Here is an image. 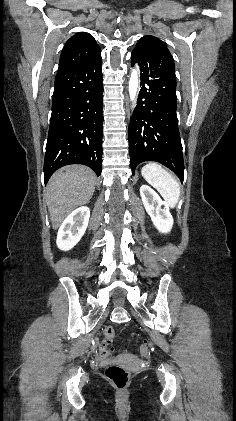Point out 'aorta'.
Here are the masks:
<instances>
[{
  "label": "aorta",
  "instance_id": "762f6f07",
  "mask_svg": "<svg viewBox=\"0 0 236 421\" xmlns=\"http://www.w3.org/2000/svg\"><path fill=\"white\" fill-rule=\"evenodd\" d=\"M139 88V70L132 68L129 78V94L132 104H135L137 90Z\"/></svg>",
  "mask_w": 236,
  "mask_h": 421
}]
</instances>
